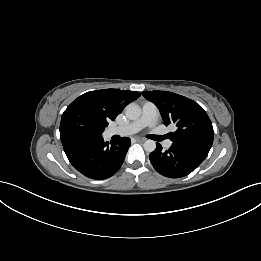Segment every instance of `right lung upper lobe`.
Masks as SVG:
<instances>
[{
	"mask_svg": "<svg viewBox=\"0 0 261 261\" xmlns=\"http://www.w3.org/2000/svg\"><path fill=\"white\" fill-rule=\"evenodd\" d=\"M140 93L136 91L103 89L87 92L75 99L67 109L84 107L96 114L107 125L115 120L126 105L136 100Z\"/></svg>",
	"mask_w": 261,
	"mask_h": 261,
	"instance_id": "right-lung-upper-lobe-1",
	"label": "right lung upper lobe"
}]
</instances>
